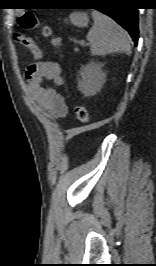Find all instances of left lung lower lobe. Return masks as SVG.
I'll use <instances>...</instances> for the list:
<instances>
[{
  "instance_id": "obj_1",
  "label": "left lung lower lobe",
  "mask_w": 156,
  "mask_h": 266,
  "mask_svg": "<svg viewBox=\"0 0 156 266\" xmlns=\"http://www.w3.org/2000/svg\"><path fill=\"white\" fill-rule=\"evenodd\" d=\"M113 2H115V0H90L89 4L92 6H100L95 9L114 19L119 25L129 32L134 43L137 44L139 38L137 8L131 7L125 2V0L124 2L123 0L122 2L120 0L121 3L117 6L114 5Z\"/></svg>"
}]
</instances>
